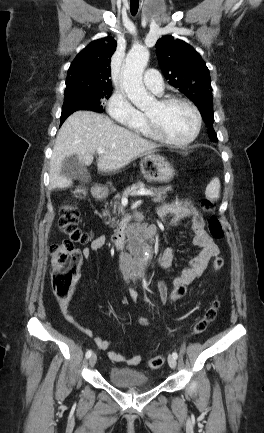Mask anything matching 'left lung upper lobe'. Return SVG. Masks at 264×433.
<instances>
[{
    "label": "left lung upper lobe",
    "instance_id": "5c2ea615",
    "mask_svg": "<svg viewBox=\"0 0 264 433\" xmlns=\"http://www.w3.org/2000/svg\"><path fill=\"white\" fill-rule=\"evenodd\" d=\"M156 49L165 78L195 103L208 126L210 139L215 142L211 79L205 62L193 47L172 36L159 39Z\"/></svg>",
    "mask_w": 264,
    "mask_h": 433
}]
</instances>
